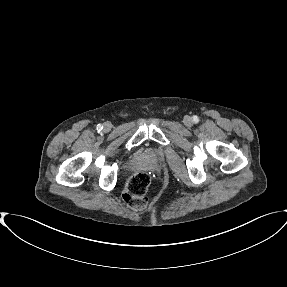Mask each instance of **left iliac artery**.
Returning a JSON list of instances; mask_svg holds the SVG:
<instances>
[{"instance_id": "left-iliac-artery-1", "label": "left iliac artery", "mask_w": 287, "mask_h": 287, "mask_svg": "<svg viewBox=\"0 0 287 287\" xmlns=\"http://www.w3.org/2000/svg\"><path fill=\"white\" fill-rule=\"evenodd\" d=\"M198 121H199V118L197 116H193V122L198 123Z\"/></svg>"}]
</instances>
